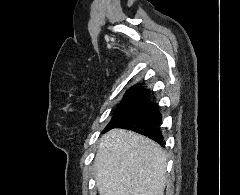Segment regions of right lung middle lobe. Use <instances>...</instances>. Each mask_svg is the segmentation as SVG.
<instances>
[{
  "instance_id": "1",
  "label": "right lung middle lobe",
  "mask_w": 240,
  "mask_h": 195,
  "mask_svg": "<svg viewBox=\"0 0 240 195\" xmlns=\"http://www.w3.org/2000/svg\"><path fill=\"white\" fill-rule=\"evenodd\" d=\"M147 98L148 95H124L122 102L115 110L114 115L109 124L107 125L105 131H107L109 128L119 123L129 114L140 108Z\"/></svg>"
}]
</instances>
